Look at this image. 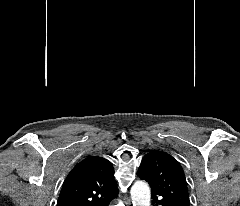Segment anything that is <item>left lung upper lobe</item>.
I'll use <instances>...</instances> for the list:
<instances>
[{"instance_id":"obj_1","label":"left lung upper lobe","mask_w":240,"mask_h":206,"mask_svg":"<svg viewBox=\"0 0 240 206\" xmlns=\"http://www.w3.org/2000/svg\"><path fill=\"white\" fill-rule=\"evenodd\" d=\"M138 173L170 206H189L184 171L180 163L166 152L153 150L144 156Z\"/></svg>"}]
</instances>
